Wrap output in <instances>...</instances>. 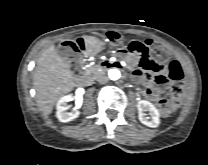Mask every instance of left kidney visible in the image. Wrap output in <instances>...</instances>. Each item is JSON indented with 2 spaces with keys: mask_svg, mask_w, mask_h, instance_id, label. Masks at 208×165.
Segmentation results:
<instances>
[{
  "mask_svg": "<svg viewBox=\"0 0 208 165\" xmlns=\"http://www.w3.org/2000/svg\"><path fill=\"white\" fill-rule=\"evenodd\" d=\"M138 118L140 122L148 127L155 128L160 124V114L157 108L146 100H140L137 103ZM145 111H148L151 117H145Z\"/></svg>",
  "mask_w": 208,
  "mask_h": 165,
  "instance_id": "5707ae66",
  "label": "left kidney"
}]
</instances>
